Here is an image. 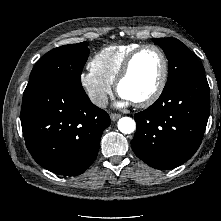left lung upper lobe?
Wrapping results in <instances>:
<instances>
[{
	"mask_svg": "<svg viewBox=\"0 0 221 221\" xmlns=\"http://www.w3.org/2000/svg\"><path fill=\"white\" fill-rule=\"evenodd\" d=\"M168 58L169 73L164 90L171 88L182 79L199 73H205L204 67L194 54L178 39L154 38Z\"/></svg>",
	"mask_w": 221,
	"mask_h": 221,
	"instance_id": "5c2ea615",
	"label": "left lung upper lobe"
}]
</instances>
